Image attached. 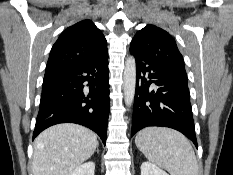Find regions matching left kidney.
<instances>
[{
    "mask_svg": "<svg viewBox=\"0 0 233 175\" xmlns=\"http://www.w3.org/2000/svg\"><path fill=\"white\" fill-rule=\"evenodd\" d=\"M141 175H168V173L150 162H143L141 165Z\"/></svg>",
    "mask_w": 233,
    "mask_h": 175,
    "instance_id": "1",
    "label": "left kidney"
}]
</instances>
